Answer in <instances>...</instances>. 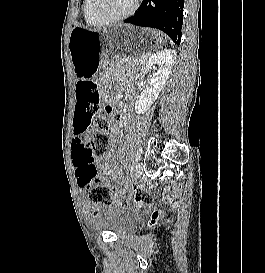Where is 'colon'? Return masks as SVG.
<instances>
[{"mask_svg": "<svg viewBox=\"0 0 265 273\" xmlns=\"http://www.w3.org/2000/svg\"><path fill=\"white\" fill-rule=\"evenodd\" d=\"M77 105L71 117V125L74 132H87L92 126L95 132L91 135L85 155L87 158L105 154L109 145V139L105 131L109 126L110 110L101 103L96 84L90 80H80L76 88ZM119 119V117H117ZM81 138V135H78ZM96 176L94 168L84 170L79 175V185L88 192L89 200L93 204L109 205L111 199V187L106 184H94ZM137 202H149L150 194L143 190L135 192ZM162 218L161 211H154L151 225H156Z\"/></svg>", "mask_w": 265, "mask_h": 273, "instance_id": "5ec220e1", "label": "colon"}]
</instances>
